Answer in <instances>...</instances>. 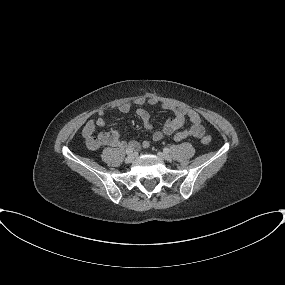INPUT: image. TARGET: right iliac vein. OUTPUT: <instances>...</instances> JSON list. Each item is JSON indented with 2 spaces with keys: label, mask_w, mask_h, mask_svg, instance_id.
<instances>
[{
  "label": "right iliac vein",
  "mask_w": 285,
  "mask_h": 285,
  "mask_svg": "<svg viewBox=\"0 0 285 285\" xmlns=\"http://www.w3.org/2000/svg\"><path fill=\"white\" fill-rule=\"evenodd\" d=\"M136 158V153H130L127 155V157L125 158V161L127 163H131L134 161V159Z\"/></svg>",
  "instance_id": "63e3f726"
}]
</instances>
